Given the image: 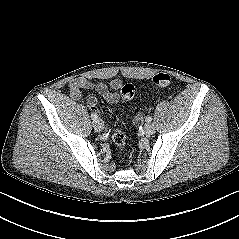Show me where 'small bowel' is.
<instances>
[{"label": "small bowel", "mask_w": 239, "mask_h": 239, "mask_svg": "<svg viewBox=\"0 0 239 239\" xmlns=\"http://www.w3.org/2000/svg\"><path fill=\"white\" fill-rule=\"evenodd\" d=\"M120 80H112L108 84L102 82H93L85 77H79L73 79L70 84V95L74 99H79L81 97L82 90H91L99 94L107 103L114 104L120 99L119 93L116 92L121 87ZM87 103L91 108H95L98 99L96 96H89ZM137 122L140 121V117H137Z\"/></svg>", "instance_id": "c3829d8e"}]
</instances>
